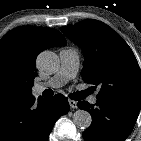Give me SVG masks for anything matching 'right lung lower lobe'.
Masks as SVG:
<instances>
[{
  "label": "right lung lower lobe",
  "instance_id": "right-lung-lower-lobe-1",
  "mask_svg": "<svg viewBox=\"0 0 141 141\" xmlns=\"http://www.w3.org/2000/svg\"><path fill=\"white\" fill-rule=\"evenodd\" d=\"M69 111L65 96L32 95L0 102V141H47L56 120Z\"/></svg>",
  "mask_w": 141,
  "mask_h": 141
}]
</instances>
